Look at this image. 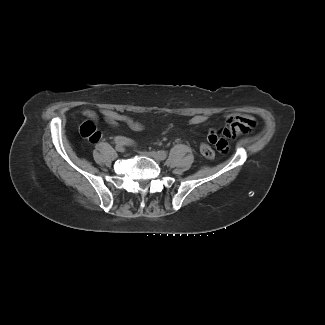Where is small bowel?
<instances>
[{"label": "small bowel", "mask_w": 325, "mask_h": 325, "mask_svg": "<svg viewBox=\"0 0 325 325\" xmlns=\"http://www.w3.org/2000/svg\"><path fill=\"white\" fill-rule=\"evenodd\" d=\"M101 113L105 121L112 127H116L120 121H126L129 125L133 126V122L119 112L103 109ZM84 115L88 117L91 120L90 123L94 125L95 121L97 120V114L92 110H86ZM206 120V115H195L191 118V123L201 124ZM253 124V118L250 116L230 115L227 117V124L222 130V137H219L216 131L210 130L207 136L208 142L214 146L217 145L218 142H222L223 148L220 150V152H227L229 148L227 139L237 138L240 135L249 132ZM95 141L97 140H93V142Z\"/></svg>", "instance_id": "c3829d8e"}]
</instances>
